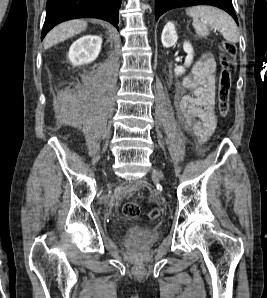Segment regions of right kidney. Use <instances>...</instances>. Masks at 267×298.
<instances>
[{"instance_id": "ca27d5eb", "label": "right kidney", "mask_w": 267, "mask_h": 298, "mask_svg": "<svg viewBox=\"0 0 267 298\" xmlns=\"http://www.w3.org/2000/svg\"><path fill=\"white\" fill-rule=\"evenodd\" d=\"M102 38L97 35H85L70 47L68 58L74 66L89 64L99 55Z\"/></svg>"}]
</instances>
